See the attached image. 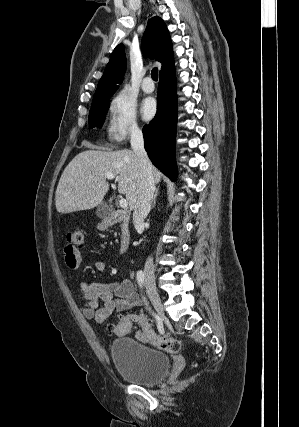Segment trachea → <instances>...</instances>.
Returning <instances> with one entry per match:
<instances>
[{
	"instance_id": "obj_1",
	"label": "trachea",
	"mask_w": 299,
	"mask_h": 427,
	"mask_svg": "<svg viewBox=\"0 0 299 427\" xmlns=\"http://www.w3.org/2000/svg\"><path fill=\"white\" fill-rule=\"evenodd\" d=\"M151 77H152V79H153L154 81H157V80H158V69H157V68H154V69L152 70V72H151Z\"/></svg>"
}]
</instances>
